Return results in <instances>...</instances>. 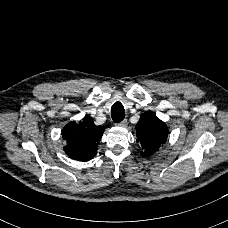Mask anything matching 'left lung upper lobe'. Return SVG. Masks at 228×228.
I'll return each instance as SVG.
<instances>
[{"mask_svg":"<svg viewBox=\"0 0 228 228\" xmlns=\"http://www.w3.org/2000/svg\"><path fill=\"white\" fill-rule=\"evenodd\" d=\"M136 132L143 157H149L158 151L168 136L167 126L152 112H146L140 117Z\"/></svg>","mask_w":228,"mask_h":228,"instance_id":"5c2ea615","label":"left lung upper lobe"}]
</instances>
